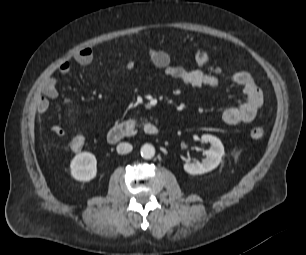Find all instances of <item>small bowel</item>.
Listing matches in <instances>:
<instances>
[{"mask_svg": "<svg viewBox=\"0 0 306 255\" xmlns=\"http://www.w3.org/2000/svg\"><path fill=\"white\" fill-rule=\"evenodd\" d=\"M93 59V52L90 48L80 49L74 56L73 61L78 65H87ZM195 63L200 68H190L187 64H173L169 53L159 49H149L145 61L136 66L133 62L127 63L128 69H134L137 72L145 67H153L163 70L165 75L171 79L177 80L184 85L191 87H210L219 85L218 74L220 68L215 66L206 49H199L194 56ZM72 63L65 61L60 67V73L70 71ZM201 68H207L209 72ZM231 79L233 83L240 86L243 91V100L240 105H231L225 108L221 114L222 121L227 125H238L241 123L252 122L263 104V93L253 76L246 71L235 72ZM58 95V78L55 75L46 78L39 90L36 99V108L40 115H44L50 105V100ZM52 132L59 136H65V130L59 125L51 127Z\"/></svg>", "mask_w": 306, "mask_h": 255, "instance_id": "1", "label": "small bowel"}]
</instances>
